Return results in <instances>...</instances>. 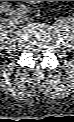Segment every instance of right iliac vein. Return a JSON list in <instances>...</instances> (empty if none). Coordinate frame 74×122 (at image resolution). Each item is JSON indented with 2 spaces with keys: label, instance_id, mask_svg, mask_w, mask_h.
<instances>
[{
  "label": "right iliac vein",
  "instance_id": "right-iliac-vein-1",
  "mask_svg": "<svg viewBox=\"0 0 74 122\" xmlns=\"http://www.w3.org/2000/svg\"><path fill=\"white\" fill-rule=\"evenodd\" d=\"M10 16L14 23H20L22 20V16L17 12H11Z\"/></svg>",
  "mask_w": 74,
  "mask_h": 122
}]
</instances>
